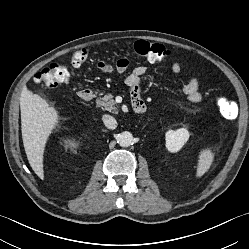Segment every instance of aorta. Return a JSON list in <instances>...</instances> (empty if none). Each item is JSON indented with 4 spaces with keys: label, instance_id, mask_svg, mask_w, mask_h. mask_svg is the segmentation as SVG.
<instances>
[{
    "label": "aorta",
    "instance_id": "obj_1",
    "mask_svg": "<svg viewBox=\"0 0 249 249\" xmlns=\"http://www.w3.org/2000/svg\"><path fill=\"white\" fill-rule=\"evenodd\" d=\"M117 142L121 147H128L133 143V135L128 131H124L118 135Z\"/></svg>",
    "mask_w": 249,
    "mask_h": 249
}]
</instances>
